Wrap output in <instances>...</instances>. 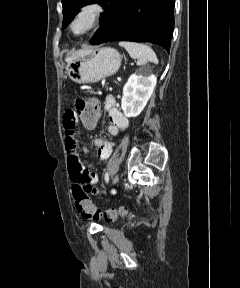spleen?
Instances as JSON below:
<instances>
[{
    "instance_id": "1",
    "label": "spleen",
    "mask_w": 240,
    "mask_h": 288,
    "mask_svg": "<svg viewBox=\"0 0 240 288\" xmlns=\"http://www.w3.org/2000/svg\"><path fill=\"white\" fill-rule=\"evenodd\" d=\"M119 45L124 47L132 58L137 59L138 65H143L147 62L158 63L155 52L146 44L120 41Z\"/></svg>"
}]
</instances>
